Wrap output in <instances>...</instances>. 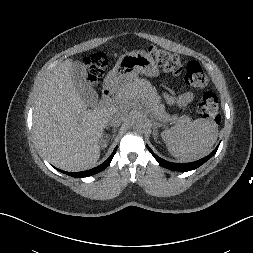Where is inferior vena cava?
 <instances>
[{"label": "inferior vena cava", "instance_id": "1", "mask_svg": "<svg viewBox=\"0 0 253 253\" xmlns=\"http://www.w3.org/2000/svg\"><path fill=\"white\" fill-rule=\"evenodd\" d=\"M128 110L114 109L110 112L108 122L111 126H119L127 117Z\"/></svg>", "mask_w": 253, "mask_h": 253}]
</instances>
